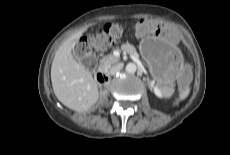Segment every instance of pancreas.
I'll return each instance as SVG.
<instances>
[{
  "mask_svg": "<svg viewBox=\"0 0 230 155\" xmlns=\"http://www.w3.org/2000/svg\"><path fill=\"white\" fill-rule=\"evenodd\" d=\"M121 50L128 52L130 55L138 57L136 49L132 46L130 47L129 45H123L121 47ZM119 59L115 57L114 55L110 54L105 56L100 60L101 66H105V68L110 67L113 63L118 62ZM174 92V89L172 86L166 87L162 90V93L165 97H170L172 93Z\"/></svg>",
  "mask_w": 230,
  "mask_h": 155,
  "instance_id": "obj_1",
  "label": "pancreas"
}]
</instances>
